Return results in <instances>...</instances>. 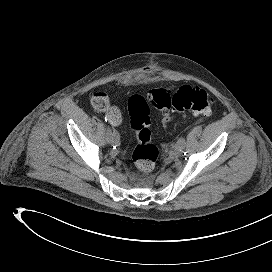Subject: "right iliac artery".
I'll return each mask as SVG.
<instances>
[{
	"label": "right iliac artery",
	"mask_w": 272,
	"mask_h": 272,
	"mask_svg": "<svg viewBox=\"0 0 272 272\" xmlns=\"http://www.w3.org/2000/svg\"><path fill=\"white\" fill-rule=\"evenodd\" d=\"M107 120H108V118L105 116V121H107ZM107 134L110 135V137L115 138V137H117L118 132L115 129L111 130L110 128H108L107 129Z\"/></svg>",
	"instance_id": "obj_1"
}]
</instances>
